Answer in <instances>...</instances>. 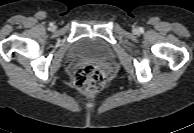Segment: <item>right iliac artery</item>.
Instances as JSON below:
<instances>
[{
    "instance_id": "1",
    "label": "right iliac artery",
    "mask_w": 194,
    "mask_h": 133,
    "mask_svg": "<svg viewBox=\"0 0 194 133\" xmlns=\"http://www.w3.org/2000/svg\"><path fill=\"white\" fill-rule=\"evenodd\" d=\"M50 26L52 27V26H53V24H52V23H50Z\"/></svg>"
}]
</instances>
